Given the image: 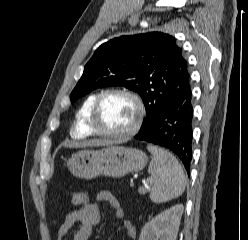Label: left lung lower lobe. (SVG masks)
Wrapping results in <instances>:
<instances>
[{
	"label": "left lung lower lobe",
	"mask_w": 248,
	"mask_h": 240,
	"mask_svg": "<svg viewBox=\"0 0 248 240\" xmlns=\"http://www.w3.org/2000/svg\"><path fill=\"white\" fill-rule=\"evenodd\" d=\"M173 151L189 173L192 160L193 106L190 85L172 97L135 136Z\"/></svg>",
	"instance_id": "0a47b994"
}]
</instances>
